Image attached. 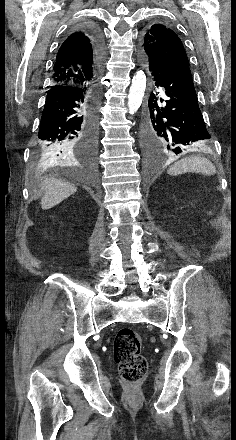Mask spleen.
Returning <instances> with one entry per match:
<instances>
[{
  "label": "spleen",
  "instance_id": "1",
  "mask_svg": "<svg viewBox=\"0 0 236 440\" xmlns=\"http://www.w3.org/2000/svg\"><path fill=\"white\" fill-rule=\"evenodd\" d=\"M185 172H198L210 176L216 173V168L214 164L205 157L190 156L175 162L167 171L169 175H179Z\"/></svg>",
  "mask_w": 236,
  "mask_h": 440
}]
</instances>
